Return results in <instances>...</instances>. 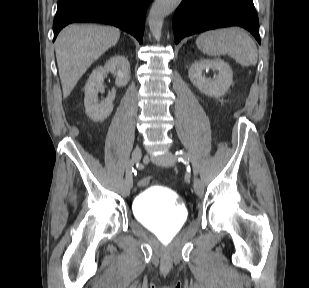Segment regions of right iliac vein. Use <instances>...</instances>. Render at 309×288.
Segmentation results:
<instances>
[{"mask_svg":"<svg viewBox=\"0 0 309 288\" xmlns=\"http://www.w3.org/2000/svg\"><path fill=\"white\" fill-rule=\"evenodd\" d=\"M142 158V151L139 147H136L131 155V161L133 160H141ZM127 179V178H126ZM132 187V184H126V180H125V191H124V195H129L130 193V188Z\"/></svg>","mask_w":309,"mask_h":288,"instance_id":"obj_1","label":"right iliac vein"}]
</instances>
